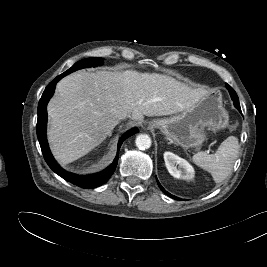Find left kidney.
Returning a JSON list of instances; mask_svg holds the SVG:
<instances>
[{"label":"left kidney","mask_w":267,"mask_h":267,"mask_svg":"<svg viewBox=\"0 0 267 267\" xmlns=\"http://www.w3.org/2000/svg\"><path fill=\"white\" fill-rule=\"evenodd\" d=\"M164 160L169 173L173 177L183 180H192L194 178V168L185 159L172 152H165Z\"/></svg>","instance_id":"left-kidney-1"}]
</instances>
